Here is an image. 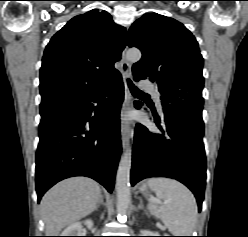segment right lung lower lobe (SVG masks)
I'll return each instance as SVG.
<instances>
[{
	"label": "right lung lower lobe",
	"instance_id": "obj_1",
	"mask_svg": "<svg viewBox=\"0 0 248 237\" xmlns=\"http://www.w3.org/2000/svg\"><path fill=\"white\" fill-rule=\"evenodd\" d=\"M105 91L109 92L107 98ZM123 99L119 75L82 97L40 104L38 202L50 187L72 176L93 178L112 192L121 154L119 113Z\"/></svg>",
	"mask_w": 248,
	"mask_h": 237
}]
</instances>
